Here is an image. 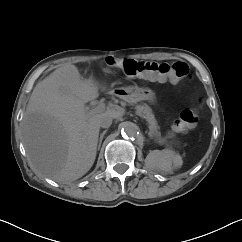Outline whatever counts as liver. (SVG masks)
Here are the masks:
<instances>
[{
  "label": "liver",
  "instance_id": "obj_1",
  "mask_svg": "<svg viewBox=\"0 0 242 242\" xmlns=\"http://www.w3.org/2000/svg\"><path fill=\"white\" fill-rule=\"evenodd\" d=\"M99 87L67 64L37 83L22 121L24 147L33 169L57 182L74 181L94 164L102 114L120 119V107L87 113Z\"/></svg>",
  "mask_w": 242,
  "mask_h": 242
}]
</instances>
